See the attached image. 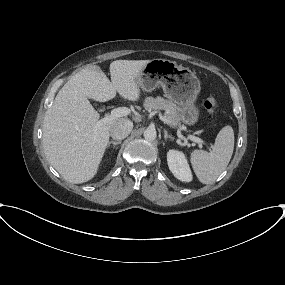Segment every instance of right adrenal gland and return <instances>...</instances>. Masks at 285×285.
Listing matches in <instances>:
<instances>
[{"mask_svg": "<svg viewBox=\"0 0 285 285\" xmlns=\"http://www.w3.org/2000/svg\"><path fill=\"white\" fill-rule=\"evenodd\" d=\"M113 144V146L115 147L116 145L118 144H121V140L119 141H109L108 144H107V149L110 147V145Z\"/></svg>", "mask_w": 285, "mask_h": 285, "instance_id": "right-adrenal-gland-1", "label": "right adrenal gland"}]
</instances>
